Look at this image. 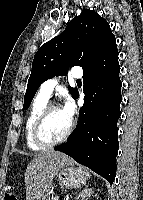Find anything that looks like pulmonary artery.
Returning <instances> with one entry per match:
<instances>
[{"instance_id": "obj_1", "label": "pulmonary artery", "mask_w": 143, "mask_h": 200, "mask_svg": "<svg viewBox=\"0 0 143 200\" xmlns=\"http://www.w3.org/2000/svg\"><path fill=\"white\" fill-rule=\"evenodd\" d=\"M82 75H83V72L81 68H78V67L73 68L70 72L71 78L80 79ZM58 83H59V80L57 78H51V79L46 80L40 86L39 93L47 98H50L54 89L57 87Z\"/></svg>"}]
</instances>
